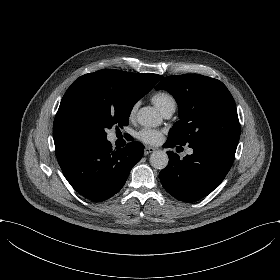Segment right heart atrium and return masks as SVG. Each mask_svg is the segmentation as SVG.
Returning <instances> with one entry per match:
<instances>
[{
    "label": "right heart atrium",
    "mask_w": 280,
    "mask_h": 280,
    "mask_svg": "<svg viewBox=\"0 0 280 280\" xmlns=\"http://www.w3.org/2000/svg\"><path fill=\"white\" fill-rule=\"evenodd\" d=\"M134 112H135V108L132 107V108L130 109L129 115L132 116V115L134 114Z\"/></svg>",
    "instance_id": "1"
}]
</instances>
